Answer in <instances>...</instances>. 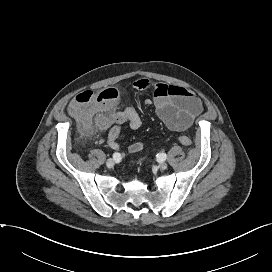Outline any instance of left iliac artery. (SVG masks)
Wrapping results in <instances>:
<instances>
[{
  "label": "left iliac artery",
  "mask_w": 272,
  "mask_h": 272,
  "mask_svg": "<svg viewBox=\"0 0 272 272\" xmlns=\"http://www.w3.org/2000/svg\"><path fill=\"white\" fill-rule=\"evenodd\" d=\"M157 156H158V159L161 161H164L167 158V155L165 153L157 154Z\"/></svg>",
  "instance_id": "left-iliac-artery-1"
}]
</instances>
